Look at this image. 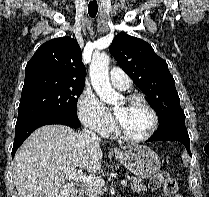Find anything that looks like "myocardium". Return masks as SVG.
I'll list each match as a JSON object with an SVG mask.
<instances>
[{
    "instance_id": "myocardium-1",
    "label": "myocardium",
    "mask_w": 209,
    "mask_h": 197,
    "mask_svg": "<svg viewBox=\"0 0 209 197\" xmlns=\"http://www.w3.org/2000/svg\"><path fill=\"white\" fill-rule=\"evenodd\" d=\"M126 101L128 102H140L150 113L151 118H152V123L147 130V132L141 136H130L128 135L121 127L116 115H115V127H116V132L117 134L125 141L130 142V143H141L145 142L148 139H150L153 134L155 133L158 123H159V117L156 112V110L152 107V105L147 101V99L140 95V94H131L126 97Z\"/></svg>"
}]
</instances>
